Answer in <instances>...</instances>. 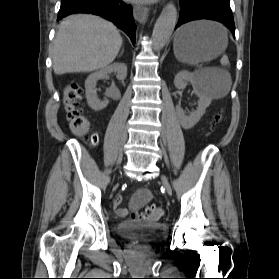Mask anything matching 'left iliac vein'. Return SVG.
<instances>
[{"label":"left iliac vein","instance_id":"left-iliac-vein-1","mask_svg":"<svg viewBox=\"0 0 279 279\" xmlns=\"http://www.w3.org/2000/svg\"><path fill=\"white\" fill-rule=\"evenodd\" d=\"M161 181L168 194H172V188L165 176H161Z\"/></svg>","mask_w":279,"mask_h":279}]
</instances>
